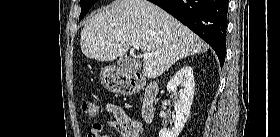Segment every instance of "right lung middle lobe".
Wrapping results in <instances>:
<instances>
[{
    "label": "right lung middle lobe",
    "mask_w": 280,
    "mask_h": 137,
    "mask_svg": "<svg viewBox=\"0 0 280 137\" xmlns=\"http://www.w3.org/2000/svg\"><path fill=\"white\" fill-rule=\"evenodd\" d=\"M98 0H80L81 14L79 16V20H81L90 10V8L97 2Z\"/></svg>",
    "instance_id": "dd1d6c3e"
}]
</instances>
